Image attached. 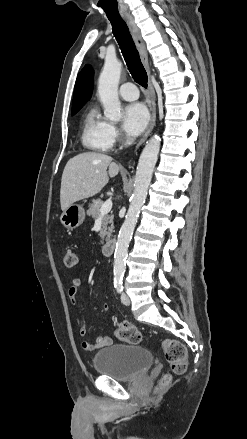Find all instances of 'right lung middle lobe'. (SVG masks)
<instances>
[{
	"label": "right lung middle lobe",
	"mask_w": 247,
	"mask_h": 439,
	"mask_svg": "<svg viewBox=\"0 0 247 439\" xmlns=\"http://www.w3.org/2000/svg\"><path fill=\"white\" fill-rule=\"evenodd\" d=\"M79 110H80V109H76V110L72 111V112H71V115L76 114Z\"/></svg>",
	"instance_id": "dd1d6c3e"
}]
</instances>
